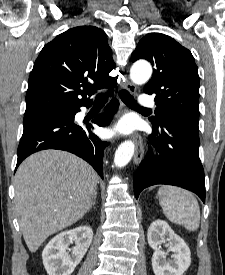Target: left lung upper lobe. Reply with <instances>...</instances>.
<instances>
[{
	"mask_svg": "<svg viewBox=\"0 0 225 275\" xmlns=\"http://www.w3.org/2000/svg\"><path fill=\"white\" fill-rule=\"evenodd\" d=\"M146 59L154 66L153 76L144 92L155 95L154 127L165 120L198 128L199 75L191 52L171 37L149 33L131 55L134 62Z\"/></svg>",
	"mask_w": 225,
	"mask_h": 275,
	"instance_id": "5c2ea615",
	"label": "left lung upper lobe"
}]
</instances>
